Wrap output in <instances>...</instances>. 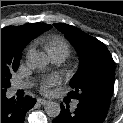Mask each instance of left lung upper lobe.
I'll return each mask as SVG.
<instances>
[{
	"label": "left lung upper lobe",
	"mask_w": 123,
	"mask_h": 123,
	"mask_svg": "<svg viewBox=\"0 0 123 123\" xmlns=\"http://www.w3.org/2000/svg\"><path fill=\"white\" fill-rule=\"evenodd\" d=\"M74 44L79 56V69L70 81L73 99L109 109L114 88L115 64L106 45L78 28L54 24Z\"/></svg>",
	"instance_id": "5c2ea615"
}]
</instances>
